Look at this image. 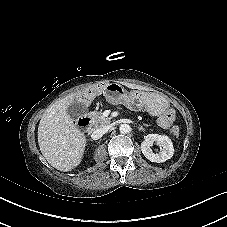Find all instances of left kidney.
I'll use <instances>...</instances> for the list:
<instances>
[{"instance_id":"1","label":"left kidney","mask_w":227,"mask_h":227,"mask_svg":"<svg viewBox=\"0 0 227 227\" xmlns=\"http://www.w3.org/2000/svg\"><path fill=\"white\" fill-rule=\"evenodd\" d=\"M154 143L160 146V152L154 153L152 146ZM141 151L151 162L162 163L170 159L174 154L173 143L166 135L148 134L141 143Z\"/></svg>"}]
</instances>
